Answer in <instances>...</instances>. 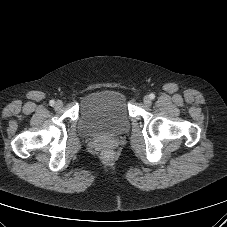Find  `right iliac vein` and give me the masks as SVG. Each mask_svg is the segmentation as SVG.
Segmentation results:
<instances>
[{"label": "right iliac vein", "instance_id": "right-iliac-vein-1", "mask_svg": "<svg viewBox=\"0 0 227 227\" xmlns=\"http://www.w3.org/2000/svg\"><path fill=\"white\" fill-rule=\"evenodd\" d=\"M62 106H63V103H62V101H60V100H58V101L55 103V108H56V109H60V108H62Z\"/></svg>", "mask_w": 227, "mask_h": 227}]
</instances>
